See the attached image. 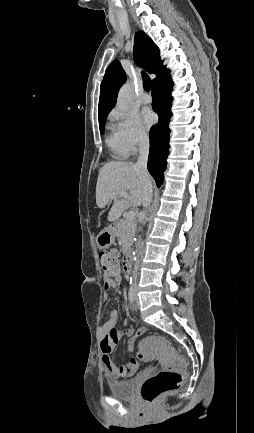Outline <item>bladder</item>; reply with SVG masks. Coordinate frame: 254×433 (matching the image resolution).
<instances>
[{"instance_id": "bladder-1", "label": "bladder", "mask_w": 254, "mask_h": 433, "mask_svg": "<svg viewBox=\"0 0 254 433\" xmlns=\"http://www.w3.org/2000/svg\"><path fill=\"white\" fill-rule=\"evenodd\" d=\"M137 378L126 381L111 382L108 384L109 392L119 399H133L136 395Z\"/></svg>"}]
</instances>
